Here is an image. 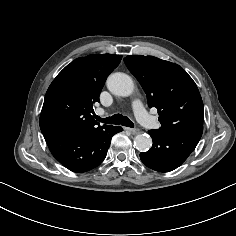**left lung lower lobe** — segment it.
I'll return each mask as SVG.
<instances>
[{"mask_svg":"<svg viewBox=\"0 0 236 236\" xmlns=\"http://www.w3.org/2000/svg\"><path fill=\"white\" fill-rule=\"evenodd\" d=\"M149 135L152 137L153 146L149 151L140 153L142 162L153 170L168 172L179 167L188 158L198 144L202 132L150 130Z\"/></svg>","mask_w":236,"mask_h":236,"instance_id":"left-lung-lower-lobe-1","label":"left lung lower lobe"}]
</instances>
